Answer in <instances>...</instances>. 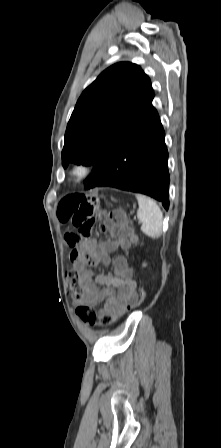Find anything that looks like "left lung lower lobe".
I'll list each match as a JSON object with an SVG mask.
<instances>
[{
	"label": "left lung lower lobe",
	"mask_w": 221,
	"mask_h": 448,
	"mask_svg": "<svg viewBox=\"0 0 221 448\" xmlns=\"http://www.w3.org/2000/svg\"><path fill=\"white\" fill-rule=\"evenodd\" d=\"M156 109L94 169L85 188L115 187L146 194L169 208L168 152Z\"/></svg>",
	"instance_id": "1"
}]
</instances>
